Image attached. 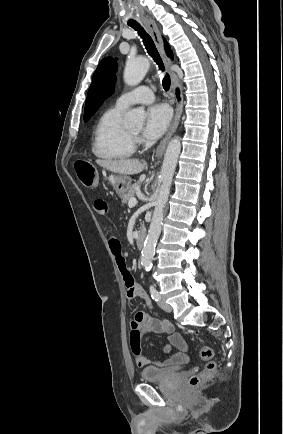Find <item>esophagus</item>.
Returning a JSON list of instances; mask_svg holds the SVG:
<instances>
[{
	"label": "esophagus",
	"mask_w": 283,
	"mask_h": 434,
	"mask_svg": "<svg viewBox=\"0 0 283 434\" xmlns=\"http://www.w3.org/2000/svg\"><path fill=\"white\" fill-rule=\"evenodd\" d=\"M144 23H145V25L148 29V32L150 33V35H151V37H152V39H153V41L157 47L162 59H163V62L165 64L166 68L168 69V71L171 75L173 86L177 87L178 86V79H177L176 74L171 70L172 61L165 53L163 40H162V37H161V34H160V31L158 29L157 24L151 18H145ZM180 117H181V107L178 104L176 107L174 120H173V122L169 128V131L166 134V136L164 137V139L160 142V144L158 145V147L156 149V157L160 158L163 155L165 148L167 146V143L169 142L170 138L172 137V135L176 131V128L179 124Z\"/></svg>",
	"instance_id": "1"
}]
</instances>
